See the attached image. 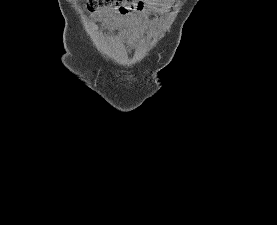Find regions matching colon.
Wrapping results in <instances>:
<instances>
[{
    "label": "colon",
    "instance_id": "5ec220e1",
    "mask_svg": "<svg viewBox=\"0 0 277 225\" xmlns=\"http://www.w3.org/2000/svg\"><path fill=\"white\" fill-rule=\"evenodd\" d=\"M84 5L89 10L109 9L122 15L136 12L141 8L136 0H84Z\"/></svg>",
    "mask_w": 277,
    "mask_h": 225
}]
</instances>
